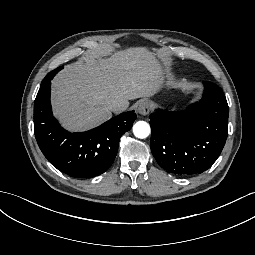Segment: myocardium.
I'll use <instances>...</instances> for the list:
<instances>
[{
    "instance_id": "obj_1",
    "label": "myocardium",
    "mask_w": 255,
    "mask_h": 255,
    "mask_svg": "<svg viewBox=\"0 0 255 255\" xmlns=\"http://www.w3.org/2000/svg\"><path fill=\"white\" fill-rule=\"evenodd\" d=\"M159 94H165L168 96L169 98V105L168 107L165 109L162 118L169 116L172 114L174 107H175V98L173 96V94L167 90V89H158V90H154L148 97L142 99L139 102V106L145 111V118L146 120L152 124V122L149 119V113H150V107H149V101L152 97L159 95ZM132 103H134V101H132Z\"/></svg>"
}]
</instances>
